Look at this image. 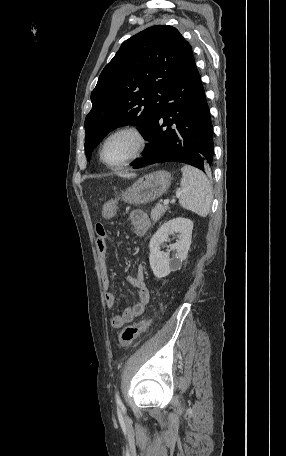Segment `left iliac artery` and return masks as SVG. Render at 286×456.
Listing matches in <instances>:
<instances>
[{"label":"left iliac artery","instance_id":"left-iliac-artery-1","mask_svg":"<svg viewBox=\"0 0 286 456\" xmlns=\"http://www.w3.org/2000/svg\"><path fill=\"white\" fill-rule=\"evenodd\" d=\"M115 397H116V403H117V405L122 406L123 404H122V401H121V399H120V396H119V393H118V392H116V396H115Z\"/></svg>","mask_w":286,"mask_h":456}]
</instances>
